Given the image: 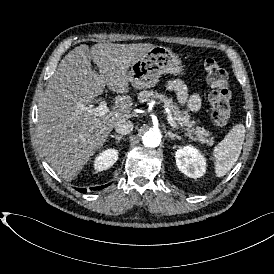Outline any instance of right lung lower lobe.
I'll list each match as a JSON object with an SVG mask.
<instances>
[{"instance_id": "obj_1", "label": "right lung lower lobe", "mask_w": 274, "mask_h": 274, "mask_svg": "<svg viewBox=\"0 0 274 274\" xmlns=\"http://www.w3.org/2000/svg\"><path fill=\"white\" fill-rule=\"evenodd\" d=\"M107 185H105V186H100V187H95L94 188V190H97V189H101V188H104V187H106ZM76 190H78L79 192H81V193H86V189H76Z\"/></svg>"}]
</instances>
